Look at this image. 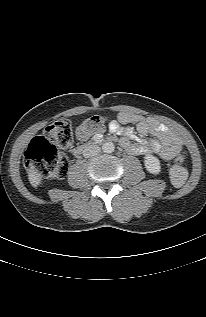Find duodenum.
<instances>
[{
    "instance_id": "duodenum-1",
    "label": "duodenum",
    "mask_w": 206,
    "mask_h": 317,
    "mask_svg": "<svg viewBox=\"0 0 206 317\" xmlns=\"http://www.w3.org/2000/svg\"><path fill=\"white\" fill-rule=\"evenodd\" d=\"M108 140H111V139H108ZM100 142H101V144H106V139L100 140V138H96L89 143L81 144L73 149V154L75 156H79V155L83 154L84 152L92 149L94 146H96ZM121 144H122V141H121Z\"/></svg>"
}]
</instances>
